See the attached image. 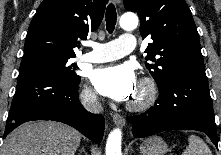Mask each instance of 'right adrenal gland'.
<instances>
[{
	"label": "right adrenal gland",
	"instance_id": "2a0ac1e0",
	"mask_svg": "<svg viewBox=\"0 0 221 155\" xmlns=\"http://www.w3.org/2000/svg\"><path fill=\"white\" fill-rule=\"evenodd\" d=\"M84 154V155H88V153L86 152V150H85V148L82 146L81 147V150H79V153H78V155H81V154Z\"/></svg>",
	"mask_w": 221,
	"mask_h": 155
}]
</instances>
